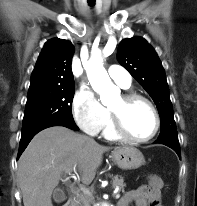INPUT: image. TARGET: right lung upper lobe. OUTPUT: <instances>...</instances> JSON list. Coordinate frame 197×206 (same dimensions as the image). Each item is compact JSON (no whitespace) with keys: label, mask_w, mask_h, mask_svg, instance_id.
I'll use <instances>...</instances> for the list:
<instances>
[{"label":"right lung upper lobe","mask_w":197,"mask_h":206,"mask_svg":"<svg viewBox=\"0 0 197 206\" xmlns=\"http://www.w3.org/2000/svg\"><path fill=\"white\" fill-rule=\"evenodd\" d=\"M73 44L64 39L47 41L31 75L29 89L74 86L71 70Z\"/></svg>","instance_id":"1"}]
</instances>
